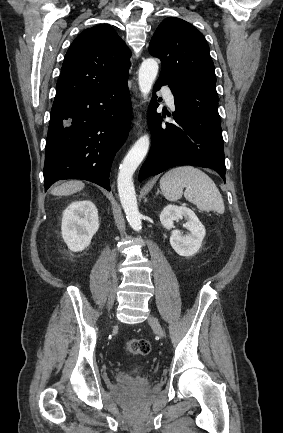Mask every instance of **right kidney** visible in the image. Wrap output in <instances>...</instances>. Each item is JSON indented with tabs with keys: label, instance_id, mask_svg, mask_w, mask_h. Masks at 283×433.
<instances>
[{
	"label": "right kidney",
	"instance_id": "1",
	"mask_svg": "<svg viewBox=\"0 0 283 433\" xmlns=\"http://www.w3.org/2000/svg\"><path fill=\"white\" fill-rule=\"evenodd\" d=\"M98 228V210L89 200L74 201L63 212L61 234L73 252L88 247Z\"/></svg>",
	"mask_w": 283,
	"mask_h": 433
}]
</instances>
